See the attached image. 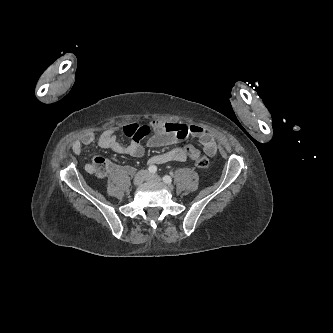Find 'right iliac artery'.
Masks as SVG:
<instances>
[{
	"label": "right iliac artery",
	"mask_w": 333,
	"mask_h": 333,
	"mask_svg": "<svg viewBox=\"0 0 333 333\" xmlns=\"http://www.w3.org/2000/svg\"><path fill=\"white\" fill-rule=\"evenodd\" d=\"M148 171L150 173H155L157 171V167L155 165H151L149 166Z\"/></svg>",
	"instance_id": "1"
}]
</instances>
